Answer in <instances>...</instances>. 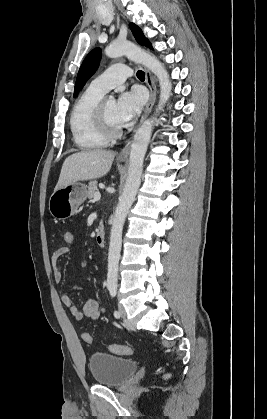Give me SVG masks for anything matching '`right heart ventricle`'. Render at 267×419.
I'll return each mask as SVG.
<instances>
[{
    "instance_id": "right-heart-ventricle-1",
    "label": "right heart ventricle",
    "mask_w": 267,
    "mask_h": 419,
    "mask_svg": "<svg viewBox=\"0 0 267 419\" xmlns=\"http://www.w3.org/2000/svg\"><path fill=\"white\" fill-rule=\"evenodd\" d=\"M104 93L88 87L75 102L70 114V129L73 140L81 150L104 147L108 140L97 129L95 112Z\"/></svg>"
}]
</instances>
